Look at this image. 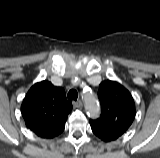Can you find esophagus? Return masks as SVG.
Listing matches in <instances>:
<instances>
[{
    "instance_id": "1",
    "label": "esophagus",
    "mask_w": 160,
    "mask_h": 158,
    "mask_svg": "<svg viewBox=\"0 0 160 158\" xmlns=\"http://www.w3.org/2000/svg\"><path fill=\"white\" fill-rule=\"evenodd\" d=\"M73 104H74L76 107H78V108H81V107L83 106V103H82L81 100H78V101H76V102H73Z\"/></svg>"
}]
</instances>
